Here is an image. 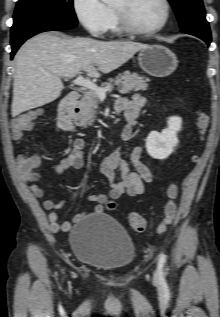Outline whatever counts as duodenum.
<instances>
[{
	"mask_svg": "<svg viewBox=\"0 0 220 317\" xmlns=\"http://www.w3.org/2000/svg\"><path fill=\"white\" fill-rule=\"evenodd\" d=\"M79 101L80 93L78 91H72L60 102L57 115V125L60 129L73 131L76 128L74 115L78 108ZM117 109L118 111H122L120 107H117Z\"/></svg>",
	"mask_w": 220,
	"mask_h": 317,
	"instance_id": "1",
	"label": "duodenum"
}]
</instances>
